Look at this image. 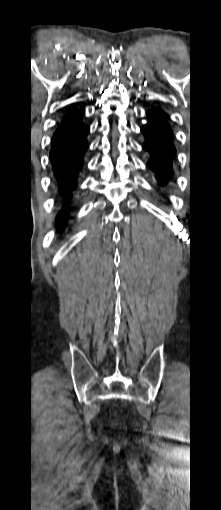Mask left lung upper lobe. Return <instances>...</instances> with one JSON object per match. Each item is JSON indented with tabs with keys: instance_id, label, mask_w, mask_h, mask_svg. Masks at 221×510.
Here are the masks:
<instances>
[{
	"instance_id": "obj_1",
	"label": "left lung upper lobe",
	"mask_w": 221,
	"mask_h": 510,
	"mask_svg": "<svg viewBox=\"0 0 221 510\" xmlns=\"http://www.w3.org/2000/svg\"><path fill=\"white\" fill-rule=\"evenodd\" d=\"M148 113L155 119H157L159 122L163 123L166 127L170 128V126L166 122L168 116L161 109L154 108L149 110Z\"/></svg>"
}]
</instances>
